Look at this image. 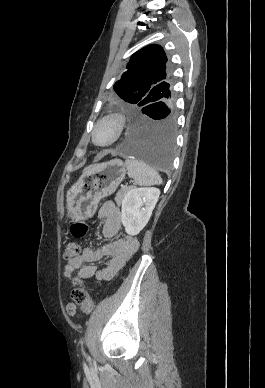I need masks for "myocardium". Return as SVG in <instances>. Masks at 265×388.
<instances>
[{"instance_id":"1","label":"myocardium","mask_w":265,"mask_h":388,"mask_svg":"<svg viewBox=\"0 0 265 388\" xmlns=\"http://www.w3.org/2000/svg\"><path fill=\"white\" fill-rule=\"evenodd\" d=\"M125 127V117L119 113H109L103 118H101L95 130H100L105 128L108 132V137L98 143L99 146H108L116 142L122 135L123 129Z\"/></svg>"}]
</instances>
